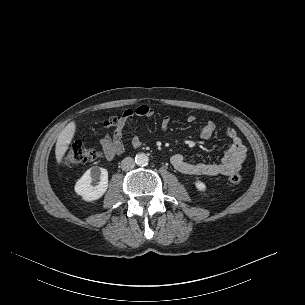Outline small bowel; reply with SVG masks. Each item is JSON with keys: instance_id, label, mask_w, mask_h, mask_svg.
Here are the masks:
<instances>
[{"instance_id": "small-bowel-1", "label": "small bowel", "mask_w": 305, "mask_h": 305, "mask_svg": "<svg viewBox=\"0 0 305 305\" xmlns=\"http://www.w3.org/2000/svg\"><path fill=\"white\" fill-rule=\"evenodd\" d=\"M153 115L154 111L148 105H140L136 108L125 110L121 115L122 122L116 133L113 136L106 134L101 139V145L105 157L112 160L124 153L125 146L123 131L130 127L134 118H151ZM195 121L196 117L194 115L188 116V123H194ZM170 122L171 118L169 116H164L160 122L161 130L166 131L170 125ZM215 130V123L208 120L200 128L199 135L202 139L209 140L213 137ZM225 133L231 140V146L220 162H193L186 159L181 154H174L170 159L171 164L177 171L186 175L227 176L240 170L246 159V147L234 128H226ZM132 143L135 147H138L141 144L137 136L133 137Z\"/></svg>"}]
</instances>
